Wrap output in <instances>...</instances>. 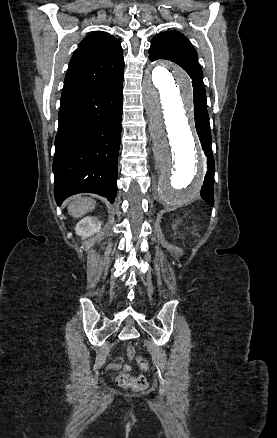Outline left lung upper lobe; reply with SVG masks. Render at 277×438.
I'll list each match as a JSON object with an SVG mask.
<instances>
[{
  "label": "left lung upper lobe",
  "mask_w": 277,
  "mask_h": 438,
  "mask_svg": "<svg viewBox=\"0 0 277 438\" xmlns=\"http://www.w3.org/2000/svg\"><path fill=\"white\" fill-rule=\"evenodd\" d=\"M149 59H166L181 66L191 77L194 92V111L207 113L203 72L198 63L196 50L190 41L179 32L166 31L157 34L151 41Z\"/></svg>",
  "instance_id": "left-lung-upper-lobe-1"
}]
</instances>
